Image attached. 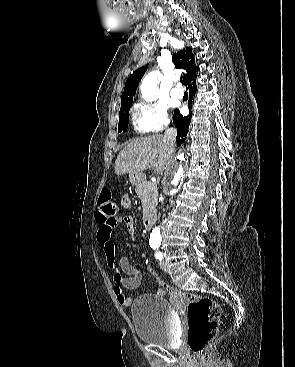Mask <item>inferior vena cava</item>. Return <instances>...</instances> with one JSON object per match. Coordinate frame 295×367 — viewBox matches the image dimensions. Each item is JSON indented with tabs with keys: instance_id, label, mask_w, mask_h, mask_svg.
<instances>
[{
	"instance_id": "1",
	"label": "inferior vena cava",
	"mask_w": 295,
	"mask_h": 367,
	"mask_svg": "<svg viewBox=\"0 0 295 367\" xmlns=\"http://www.w3.org/2000/svg\"><path fill=\"white\" fill-rule=\"evenodd\" d=\"M164 138L167 141V144L170 149H174L175 147V138H176V130L173 128H167L164 134Z\"/></svg>"
}]
</instances>
